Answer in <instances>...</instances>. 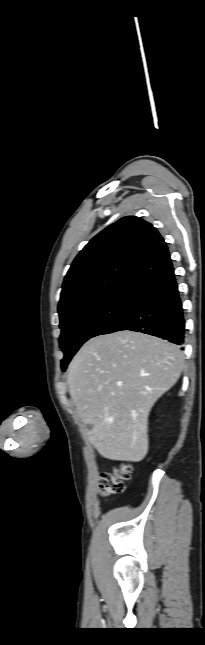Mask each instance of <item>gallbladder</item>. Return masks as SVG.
I'll list each match as a JSON object with an SVG mask.
<instances>
[{
	"mask_svg": "<svg viewBox=\"0 0 205 645\" xmlns=\"http://www.w3.org/2000/svg\"><path fill=\"white\" fill-rule=\"evenodd\" d=\"M92 429V425H86V430L90 431Z\"/></svg>",
	"mask_w": 205,
	"mask_h": 645,
	"instance_id": "bac80fb5",
	"label": "gallbladder"
}]
</instances>
